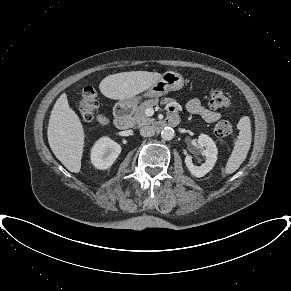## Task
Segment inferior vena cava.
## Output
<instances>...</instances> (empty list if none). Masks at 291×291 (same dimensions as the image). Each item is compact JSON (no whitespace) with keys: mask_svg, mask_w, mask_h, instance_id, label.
<instances>
[{"mask_svg":"<svg viewBox=\"0 0 291 291\" xmlns=\"http://www.w3.org/2000/svg\"><path fill=\"white\" fill-rule=\"evenodd\" d=\"M140 134L143 137H151L155 134V129L152 126H144L140 129Z\"/></svg>","mask_w":291,"mask_h":291,"instance_id":"inferior-vena-cava-1","label":"inferior vena cava"}]
</instances>
